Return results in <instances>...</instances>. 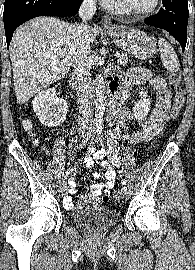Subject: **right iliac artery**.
Returning <instances> with one entry per match:
<instances>
[{
    "label": "right iliac artery",
    "instance_id": "82829eb1",
    "mask_svg": "<svg viewBox=\"0 0 195 270\" xmlns=\"http://www.w3.org/2000/svg\"><path fill=\"white\" fill-rule=\"evenodd\" d=\"M95 132V127L93 126V128L91 129V132L88 134L87 138L82 141V143L79 145V149L83 148V146H85L87 144V142L90 140L91 135ZM70 174V170H67L65 172V179H67L68 175ZM71 181V180H70Z\"/></svg>",
    "mask_w": 195,
    "mask_h": 270
}]
</instances>
